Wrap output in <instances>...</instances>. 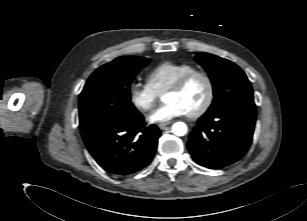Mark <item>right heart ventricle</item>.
Masks as SVG:
<instances>
[{"instance_id":"right-heart-ventricle-1","label":"right heart ventricle","mask_w":307,"mask_h":221,"mask_svg":"<svg viewBox=\"0 0 307 221\" xmlns=\"http://www.w3.org/2000/svg\"><path fill=\"white\" fill-rule=\"evenodd\" d=\"M196 70V67L187 62L165 61L155 66L147 75L150 87L161 95L183 75Z\"/></svg>"}]
</instances>
